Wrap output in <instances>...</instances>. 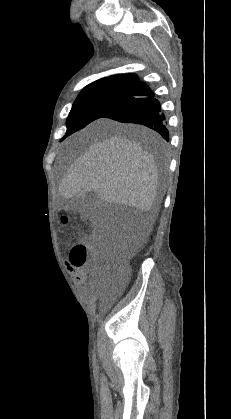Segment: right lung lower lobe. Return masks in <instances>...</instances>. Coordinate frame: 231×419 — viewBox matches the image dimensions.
<instances>
[{"label": "right lung lower lobe", "mask_w": 231, "mask_h": 419, "mask_svg": "<svg viewBox=\"0 0 231 419\" xmlns=\"http://www.w3.org/2000/svg\"><path fill=\"white\" fill-rule=\"evenodd\" d=\"M103 117L120 122L142 124L155 130L169 141V132L165 116L161 112L160 102L154 98V93L144 82H139L128 98L109 110Z\"/></svg>", "instance_id": "right-lung-lower-lobe-1"}]
</instances>
